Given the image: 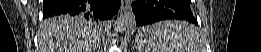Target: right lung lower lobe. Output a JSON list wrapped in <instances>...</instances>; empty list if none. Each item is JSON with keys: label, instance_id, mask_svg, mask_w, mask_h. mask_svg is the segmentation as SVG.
<instances>
[{"label": "right lung lower lobe", "instance_id": "obj_1", "mask_svg": "<svg viewBox=\"0 0 261 52\" xmlns=\"http://www.w3.org/2000/svg\"><path fill=\"white\" fill-rule=\"evenodd\" d=\"M120 4L121 0H43V17L82 15L102 23L117 13Z\"/></svg>", "mask_w": 261, "mask_h": 52}]
</instances>
